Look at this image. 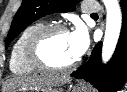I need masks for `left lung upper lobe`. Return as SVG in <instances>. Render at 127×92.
I'll return each instance as SVG.
<instances>
[{"mask_svg": "<svg viewBox=\"0 0 127 92\" xmlns=\"http://www.w3.org/2000/svg\"><path fill=\"white\" fill-rule=\"evenodd\" d=\"M80 0H23L18 9L10 31L7 35L5 48L14 40L26 27L37 19L55 12L73 11Z\"/></svg>", "mask_w": 127, "mask_h": 92, "instance_id": "1", "label": "left lung upper lobe"}]
</instances>
